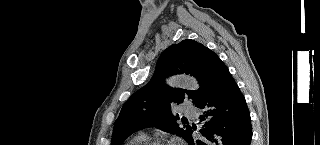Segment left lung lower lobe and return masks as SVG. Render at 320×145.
Returning a JSON list of instances; mask_svg holds the SVG:
<instances>
[{"instance_id": "obj_1", "label": "left lung lower lobe", "mask_w": 320, "mask_h": 145, "mask_svg": "<svg viewBox=\"0 0 320 145\" xmlns=\"http://www.w3.org/2000/svg\"><path fill=\"white\" fill-rule=\"evenodd\" d=\"M196 107L203 110V138L193 139L191 128L188 145H250L251 119L245 98L221 59L206 71Z\"/></svg>"}]
</instances>
